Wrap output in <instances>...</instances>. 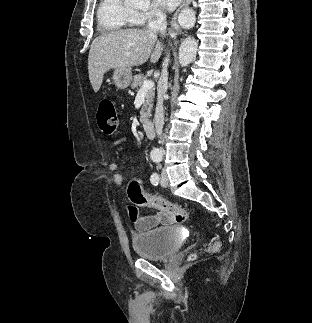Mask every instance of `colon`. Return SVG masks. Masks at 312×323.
<instances>
[{
    "instance_id": "colon-1",
    "label": "colon",
    "mask_w": 312,
    "mask_h": 323,
    "mask_svg": "<svg viewBox=\"0 0 312 323\" xmlns=\"http://www.w3.org/2000/svg\"><path fill=\"white\" fill-rule=\"evenodd\" d=\"M97 125L99 131L105 136L115 134L119 129V118L111 98H102L99 101L97 108ZM128 195L131 200L137 205H149L155 209L163 210L164 212L173 214L176 222H183L187 219V211L184 207L173 204L170 201L156 197L148 196L142 192L139 184H142V177H128ZM129 215L132 219L137 218L135 207H128ZM219 247V241H216L210 246L211 250H216ZM194 259V255L190 257Z\"/></svg>"
}]
</instances>
